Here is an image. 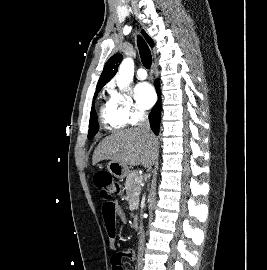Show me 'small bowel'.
<instances>
[{"label": "small bowel", "instance_id": "obj_1", "mask_svg": "<svg viewBox=\"0 0 267 270\" xmlns=\"http://www.w3.org/2000/svg\"><path fill=\"white\" fill-rule=\"evenodd\" d=\"M125 216L122 208L117 202H105L103 204V218L105 221L107 233L110 237L109 243L111 250H116L115 245V234H116V218H123ZM115 256H119L121 259L123 256H127L128 258H132L133 254L130 250H125L121 253H115L112 257V264H113V258ZM121 269L124 270L122 265L120 264ZM113 270V269H112Z\"/></svg>", "mask_w": 267, "mask_h": 270}]
</instances>
